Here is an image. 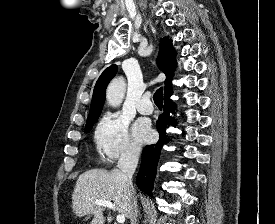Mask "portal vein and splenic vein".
<instances>
[{"instance_id": "obj_1", "label": "portal vein and splenic vein", "mask_w": 275, "mask_h": 224, "mask_svg": "<svg viewBox=\"0 0 275 224\" xmlns=\"http://www.w3.org/2000/svg\"><path fill=\"white\" fill-rule=\"evenodd\" d=\"M95 203L98 205V206H103V207H107L109 209H112L115 211V207L113 205V203L111 201H107V200H97L95 201ZM116 221L119 223V224H123L125 222V216L122 215V214H118L117 217H116Z\"/></svg>"}]
</instances>
